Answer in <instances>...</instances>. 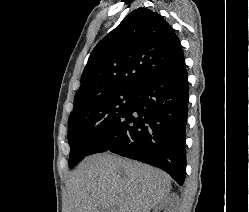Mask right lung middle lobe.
Instances as JSON below:
<instances>
[{
    "label": "right lung middle lobe",
    "instance_id": "obj_1",
    "mask_svg": "<svg viewBox=\"0 0 249 212\" xmlns=\"http://www.w3.org/2000/svg\"><path fill=\"white\" fill-rule=\"evenodd\" d=\"M135 92H115L77 106L68 119V143L72 168L92 150L132 104Z\"/></svg>",
    "mask_w": 249,
    "mask_h": 212
}]
</instances>
